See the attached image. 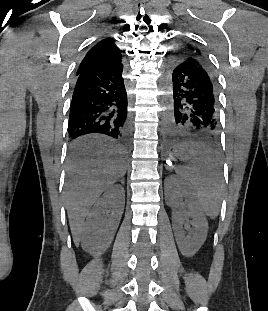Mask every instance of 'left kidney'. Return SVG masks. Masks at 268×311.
Segmentation results:
<instances>
[{
	"label": "left kidney",
	"instance_id": "left-kidney-1",
	"mask_svg": "<svg viewBox=\"0 0 268 311\" xmlns=\"http://www.w3.org/2000/svg\"><path fill=\"white\" fill-rule=\"evenodd\" d=\"M165 200L172 208V226L180 252L186 257L194 256L207 237L208 224L198 203L192 186L176 175L165 180ZM185 199V203L182 202ZM187 210H184V208ZM191 219V221H189ZM188 223L192 225L185 236Z\"/></svg>",
	"mask_w": 268,
	"mask_h": 311
}]
</instances>
